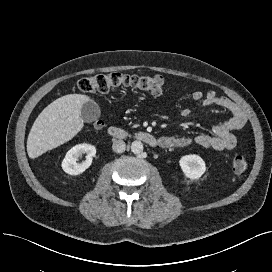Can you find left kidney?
<instances>
[{"instance_id": "1", "label": "left kidney", "mask_w": 272, "mask_h": 272, "mask_svg": "<svg viewBox=\"0 0 272 272\" xmlns=\"http://www.w3.org/2000/svg\"><path fill=\"white\" fill-rule=\"evenodd\" d=\"M179 165L184 175L190 179H199L206 172L204 160L196 154L182 156Z\"/></svg>"}]
</instances>
